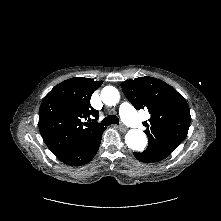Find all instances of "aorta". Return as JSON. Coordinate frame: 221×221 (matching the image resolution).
Segmentation results:
<instances>
[{
  "instance_id": "obj_1",
  "label": "aorta",
  "mask_w": 221,
  "mask_h": 221,
  "mask_svg": "<svg viewBox=\"0 0 221 221\" xmlns=\"http://www.w3.org/2000/svg\"><path fill=\"white\" fill-rule=\"evenodd\" d=\"M101 99L104 104L114 106L119 102V91L113 86H106L101 91ZM125 142L129 148L135 151H143L147 144L145 133L139 129H131L125 136Z\"/></svg>"
}]
</instances>
